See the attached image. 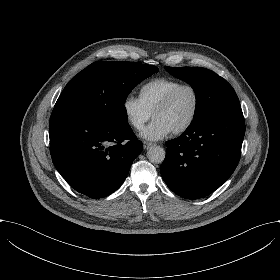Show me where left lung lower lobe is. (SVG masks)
<instances>
[{"instance_id":"left-lung-lower-lobe-1","label":"left lung lower lobe","mask_w":280,"mask_h":280,"mask_svg":"<svg viewBox=\"0 0 280 280\" xmlns=\"http://www.w3.org/2000/svg\"><path fill=\"white\" fill-rule=\"evenodd\" d=\"M244 134L241 107L197 120L181 136L166 142L160 169L163 180L183 198L207 196L234 172Z\"/></svg>"}]
</instances>
